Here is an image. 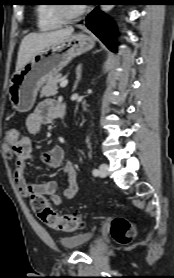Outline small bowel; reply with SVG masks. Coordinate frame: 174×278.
<instances>
[{"label": "small bowel", "mask_w": 174, "mask_h": 278, "mask_svg": "<svg viewBox=\"0 0 174 278\" xmlns=\"http://www.w3.org/2000/svg\"><path fill=\"white\" fill-rule=\"evenodd\" d=\"M58 103L53 99H45L38 104L34 112L26 119V129L30 134H37L44 124L49 123L57 115ZM15 157V184L24 197L32 194L49 196L54 205H60L64 199H72L78 192L77 173L71 162H66L64 173L67 178L66 187L60 189L57 181L49 180L43 183H30L26 178L28 161L32 156V143L29 137L21 136L12 146ZM63 150L60 146L53 147L44 155V161L51 167H57L63 160Z\"/></svg>", "instance_id": "obj_1"}]
</instances>
